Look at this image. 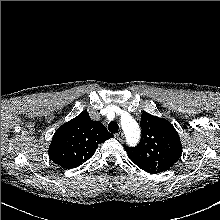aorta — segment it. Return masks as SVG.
<instances>
[{
    "instance_id": "1",
    "label": "aorta",
    "mask_w": 220,
    "mask_h": 220,
    "mask_svg": "<svg viewBox=\"0 0 220 220\" xmlns=\"http://www.w3.org/2000/svg\"><path fill=\"white\" fill-rule=\"evenodd\" d=\"M121 126L124 131L126 141L130 146H134L140 139V127L138 123L130 116L121 117Z\"/></svg>"
}]
</instances>
